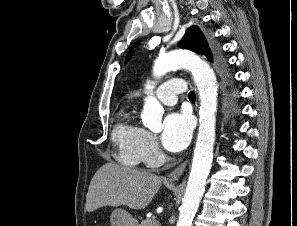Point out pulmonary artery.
Masks as SVG:
<instances>
[{
    "label": "pulmonary artery",
    "instance_id": "e3ab8cb5",
    "mask_svg": "<svg viewBox=\"0 0 297 226\" xmlns=\"http://www.w3.org/2000/svg\"><path fill=\"white\" fill-rule=\"evenodd\" d=\"M186 83L179 78H173L157 86L156 97L165 105H174L177 102V95L186 91Z\"/></svg>",
    "mask_w": 297,
    "mask_h": 226
}]
</instances>
